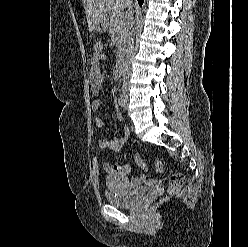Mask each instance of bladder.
<instances>
[{"label":"bladder","mask_w":248,"mask_h":247,"mask_svg":"<svg viewBox=\"0 0 248 247\" xmlns=\"http://www.w3.org/2000/svg\"><path fill=\"white\" fill-rule=\"evenodd\" d=\"M106 184L108 186L107 200L116 207H131L140 201L149 188L141 186L133 192H128L125 185V177L121 174H112L107 177Z\"/></svg>","instance_id":"obj_1"}]
</instances>
